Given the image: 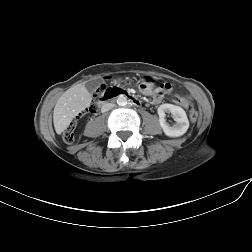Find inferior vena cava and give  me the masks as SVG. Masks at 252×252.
Wrapping results in <instances>:
<instances>
[{"label": "inferior vena cava", "mask_w": 252, "mask_h": 252, "mask_svg": "<svg viewBox=\"0 0 252 252\" xmlns=\"http://www.w3.org/2000/svg\"><path fill=\"white\" fill-rule=\"evenodd\" d=\"M114 106H115V105H114L113 103H104V104L102 105L101 111H102V112H106V111L112 109Z\"/></svg>", "instance_id": "inferior-vena-cava-1"}]
</instances>
